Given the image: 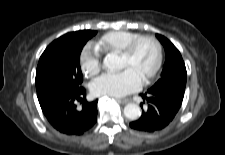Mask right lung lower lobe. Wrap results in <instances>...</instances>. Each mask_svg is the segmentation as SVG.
I'll return each mask as SVG.
<instances>
[{
    "mask_svg": "<svg viewBox=\"0 0 225 155\" xmlns=\"http://www.w3.org/2000/svg\"><path fill=\"white\" fill-rule=\"evenodd\" d=\"M84 88L61 89L39 101L51 125L67 135H81L97 120V102H87ZM81 108H77L78 105Z\"/></svg>",
    "mask_w": 225,
    "mask_h": 155,
    "instance_id": "right-lung-lower-lobe-1",
    "label": "right lung lower lobe"
}]
</instances>
